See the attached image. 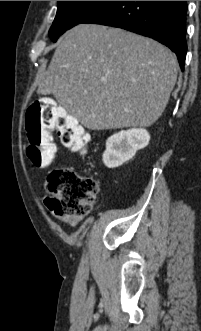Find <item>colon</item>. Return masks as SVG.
Returning <instances> with one entry per match:
<instances>
[{
  "label": "colon",
  "mask_w": 201,
  "mask_h": 331,
  "mask_svg": "<svg viewBox=\"0 0 201 331\" xmlns=\"http://www.w3.org/2000/svg\"><path fill=\"white\" fill-rule=\"evenodd\" d=\"M26 130V153L37 167L49 166L54 160L52 131H56L61 142L77 153H84L89 144V136L77 120L50 98L39 99L29 107ZM47 190L46 207L57 218L75 225L90 212L99 185L94 176L78 174L70 168H59L48 175Z\"/></svg>",
  "instance_id": "1"
}]
</instances>
